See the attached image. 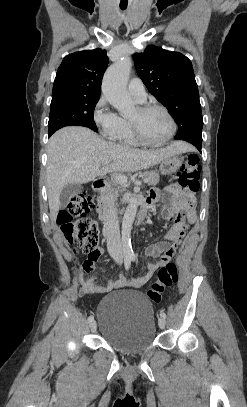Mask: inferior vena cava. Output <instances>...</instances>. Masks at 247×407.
Listing matches in <instances>:
<instances>
[{"label":"inferior vena cava","instance_id":"602c4592","mask_svg":"<svg viewBox=\"0 0 247 407\" xmlns=\"http://www.w3.org/2000/svg\"><path fill=\"white\" fill-rule=\"evenodd\" d=\"M107 240L109 255L118 263L123 261L122 246L120 241V230L117 218V210L113 205L107 207L106 221L103 229Z\"/></svg>","mask_w":247,"mask_h":407}]
</instances>
